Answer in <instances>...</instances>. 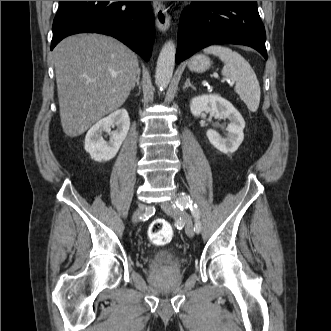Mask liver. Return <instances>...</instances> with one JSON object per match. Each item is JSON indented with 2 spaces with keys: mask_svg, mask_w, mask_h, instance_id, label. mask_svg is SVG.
<instances>
[{
  "mask_svg": "<svg viewBox=\"0 0 331 331\" xmlns=\"http://www.w3.org/2000/svg\"><path fill=\"white\" fill-rule=\"evenodd\" d=\"M60 119L76 137L120 108L140 73L137 56L114 38L77 34L53 50Z\"/></svg>",
  "mask_w": 331,
  "mask_h": 331,
  "instance_id": "1",
  "label": "liver"
}]
</instances>
